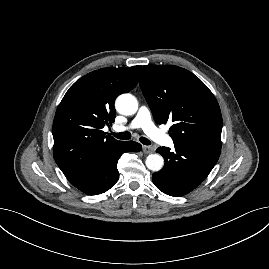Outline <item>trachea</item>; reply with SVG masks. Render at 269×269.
<instances>
[{
    "instance_id": "obj_1",
    "label": "trachea",
    "mask_w": 269,
    "mask_h": 269,
    "mask_svg": "<svg viewBox=\"0 0 269 269\" xmlns=\"http://www.w3.org/2000/svg\"><path fill=\"white\" fill-rule=\"evenodd\" d=\"M112 135L115 136L118 139H122V140H128L131 138V133L130 132H121V133H113ZM139 141L144 144V145H150V141L145 138V137H140Z\"/></svg>"
}]
</instances>
